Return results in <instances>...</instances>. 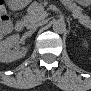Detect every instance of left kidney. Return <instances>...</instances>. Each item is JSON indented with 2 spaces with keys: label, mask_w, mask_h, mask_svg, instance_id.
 <instances>
[{
  "label": "left kidney",
  "mask_w": 91,
  "mask_h": 91,
  "mask_svg": "<svg viewBox=\"0 0 91 91\" xmlns=\"http://www.w3.org/2000/svg\"><path fill=\"white\" fill-rule=\"evenodd\" d=\"M84 45L87 47L88 44L87 43H84Z\"/></svg>",
  "instance_id": "5707ae66"
}]
</instances>
